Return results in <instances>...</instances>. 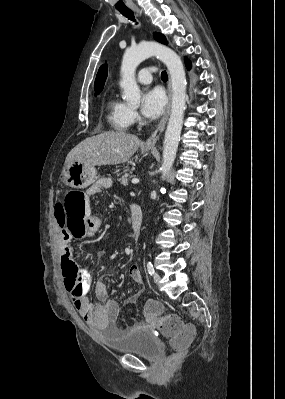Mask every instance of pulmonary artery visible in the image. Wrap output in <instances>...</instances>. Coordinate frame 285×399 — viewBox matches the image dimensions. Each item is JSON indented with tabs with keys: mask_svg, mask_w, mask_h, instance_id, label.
I'll return each mask as SVG.
<instances>
[{
	"mask_svg": "<svg viewBox=\"0 0 285 399\" xmlns=\"http://www.w3.org/2000/svg\"><path fill=\"white\" fill-rule=\"evenodd\" d=\"M157 70L155 67H146L139 71L138 73V82L141 84H149L152 80V75L156 74Z\"/></svg>",
	"mask_w": 285,
	"mask_h": 399,
	"instance_id": "1",
	"label": "pulmonary artery"
}]
</instances>
